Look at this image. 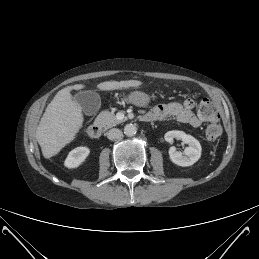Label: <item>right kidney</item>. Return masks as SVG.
I'll return each instance as SVG.
<instances>
[{
  "instance_id": "obj_1",
  "label": "right kidney",
  "mask_w": 259,
  "mask_h": 259,
  "mask_svg": "<svg viewBox=\"0 0 259 259\" xmlns=\"http://www.w3.org/2000/svg\"><path fill=\"white\" fill-rule=\"evenodd\" d=\"M90 153L89 148L87 147H77L71 150L65 159L64 165L69 168H77L80 166Z\"/></svg>"
}]
</instances>
